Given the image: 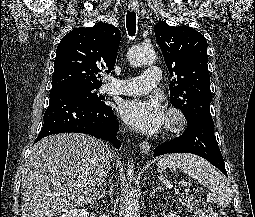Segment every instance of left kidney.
Returning a JSON list of instances; mask_svg holds the SVG:
<instances>
[{
	"instance_id": "1",
	"label": "left kidney",
	"mask_w": 255,
	"mask_h": 217,
	"mask_svg": "<svg viewBox=\"0 0 255 217\" xmlns=\"http://www.w3.org/2000/svg\"><path fill=\"white\" fill-rule=\"evenodd\" d=\"M167 217H180L176 212L171 211L168 213Z\"/></svg>"
}]
</instances>
